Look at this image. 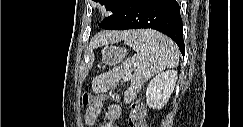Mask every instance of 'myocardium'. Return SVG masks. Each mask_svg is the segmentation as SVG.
Here are the masks:
<instances>
[{
    "label": "myocardium",
    "instance_id": "1",
    "mask_svg": "<svg viewBox=\"0 0 243 127\" xmlns=\"http://www.w3.org/2000/svg\"><path fill=\"white\" fill-rule=\"evenodd\" d=\"M101 12L99 11V12H95V15H99Z\"/></svg>",
    "mask_w": 243,
    "mask_h": 127
}]
</instances>
